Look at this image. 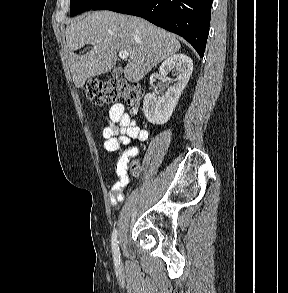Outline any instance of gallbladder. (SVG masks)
<instances>
[{"mask_svg":"<svg viewBox=\"0 0 288 293\" xmlns=\"http://www.w3.org/2000/svg\"><path fill=\"white\" fill-rule=\"evenodd\" d=\"M122 72H123L122 67L119 66V67L114 68L112 71L113 78H118L122 74Z\"/></svg>","mask_w":288,"mask_h":293,"instance_id":"obj_1","label":"gallbladder"}]
</instances>
